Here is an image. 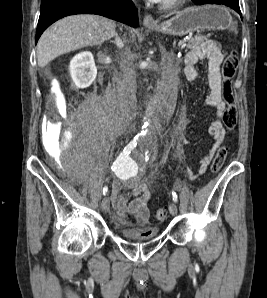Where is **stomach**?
<instances>
[{"instance_id": "stomach-1", "label": "stomach", "mask_w": 267, "mask_h": 298, "mask_svg": "<svg viewBox=\"0 0 267 298\" xmlns=\"http://www.w3.org/2000/svg\"><path fill=\"white\" fill-rule=\"evenodd\" d=\"M232 24L229 10L220 5L190 7L178 12L160 26L150 29L168 35L183 36L194 31L226 30Z\"/></svg>"}]
</instances>
